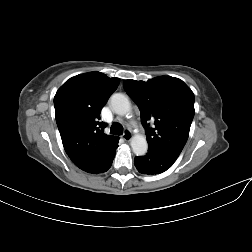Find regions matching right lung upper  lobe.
Here are the masks:
<instances>
[{
    "instance_id": "right-lung-upper-lobe-1",
    "label": "right lung upper lobe",
    "mask_w": 252,
    "mask_h": 252,
    "mask_svg": "<svg viewBox=\"0 0 252 252\" xmlns=\"http://www.w3.org/2000/svg\"><path fill=\"white\" fill-rule=\"evenodd\" d=\"M119 85V78L99 72L74 76L54 97L56 122L64 149L83 171L98 174L111 161L119 138L104 133L100 112Z\"/></svg>"
}]
</instances>
